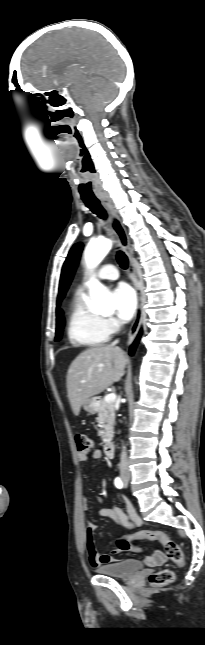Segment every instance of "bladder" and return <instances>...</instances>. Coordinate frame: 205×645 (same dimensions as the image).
Wrapping results in <instances>:
<instances>
[{"mask_svg":"<svg viewBox=\"0 0 205 645\" xmlns=\"http://www.w3.org/2000/svg\"><path fill=\"white\" fill-rule=\"evenodd\" d=\"M143 569V563L136 559H125L118 562L103 564L97 567V572L116 578L130 577Z\"/></svg>","mask_w":205,"mask_h":645,"instance_id":"31cf9c89","label":"bladder"}]
</instances>
